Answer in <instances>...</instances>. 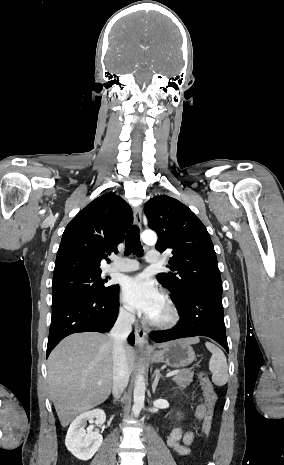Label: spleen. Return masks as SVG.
<instances>
[{
    "label": "spleen",
    "instance_id": "spleen-1",
    "mask_svg": "<svg viewBox=\"0 0 284 465\" xmlns=\"http://www.w3.org/2000/svg\"><path fill=\"white\" fill-rule=\"evenodd\" d=\"M208 351L212 353V357L209 361V371L212 373V383L217 385V387H222L226 385L228 381V365L226 357L216 345L213 343H205Z\"/></svg>",
    "mask_w": 284,
    "mask_h": 465
}]
</instances>
